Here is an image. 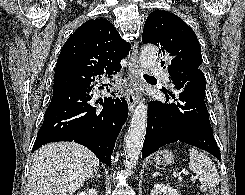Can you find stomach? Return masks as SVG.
Wrapping results in <instances>:
<instances>
[{"instance_id": "0dacf381", "label": "stomach", "mask_w": 245, "mask_h": 195, "mask_svg": "<svg viewBox=\"0 0 245 195\" xmlns=\"http://www.w3.org/2000/svg\"><path fill=\"white\" fill-rule=\"evenodd\" d=\"M174 159V155L171 151L169 150H160L159 152H157L156 154V163L159 165H167L170 164Z\"/></svg>"}]
</instances>
